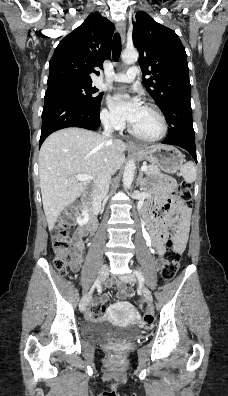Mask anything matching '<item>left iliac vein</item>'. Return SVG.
Wrapping results in <instances>:
<instances>
[{"label": "left iliac vein", "mask_w": 228, "mask_h": 396, "mask_svg": "<svg viewBox=\"0 0 228 396\" xmlns=\"http://www.w3.org/2000/svg\"><path fill=\"white\" fill-rule=\"evenodd\" d=\"M121 280L126 282V283H135L136 282V277L133 274H127V275H122ZM142 292L143 296L145 299L149 302L152 303L153 298L150 290L146 286H142Z\"/></svg>", "instance_id": "left-iliac-vein-1"}]
</instances>
